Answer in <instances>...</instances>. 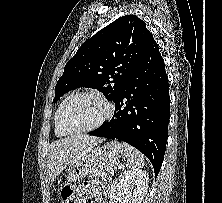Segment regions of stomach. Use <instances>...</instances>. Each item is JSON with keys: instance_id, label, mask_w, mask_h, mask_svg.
<instances>
[{"instance_id": "obj_1", "label": "stomach", "mask_w": 222, "mask_h": 203, "mask_svg": "<svg viewBox=\"0 0 222 203\" xmlns=\"http://www.w3.org/2000/svg\"><path fill=\"white\" fill-rule=\"evenodd\" d=\"M125 155L124 146L118 141H110L101 146L89 148L70 163L67 180L77 182L92 173L102 161L118 160Z\"/></svg>"}]
</instances>
